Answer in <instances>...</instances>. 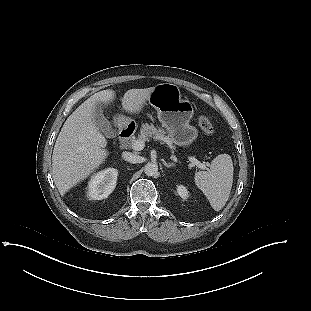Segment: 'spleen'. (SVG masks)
Here are the masks:
<instances>
[{
  "label": "spleen",
  "instance_id": "1",
  "mask_svg": "<svg viewBox=\"0 0 311 311\" xmlns=\"http://www.w3.org/2000/svg\"><path fill=\"white\" fill-rule=\"evenodd\" d=\"M233 180L232 160L227 154H220L210 163L208 171L197 172L195 185L204 193L215 211L221 210L229 197Z\"/></svg>",
  "mask_w": 311,
  "mask_h": 311
}]
</instances>
